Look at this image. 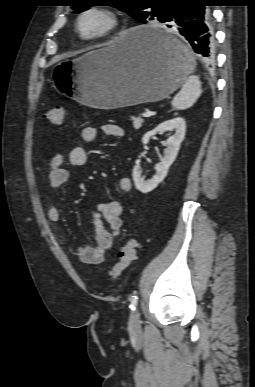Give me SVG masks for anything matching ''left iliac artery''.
<instances>
[{
	"mask_svg": "<svg viewBox=\"0 0 255 387\" xmlns=\"http://www.w3.org/2000/svg\"><path fill=\"white\" fill-rule=\"evenodd\" d=\"M131 303H130V308L131 310H135L136 309V305H137V302H138V296L137 295H133L131 297Z\"/></svg>",
	"mask_w": 255,
	"mask_h": 387,
	"instance_id": "44dca946",
	"label": "left iliac artery"
}]
</instances>
